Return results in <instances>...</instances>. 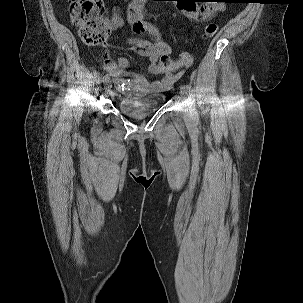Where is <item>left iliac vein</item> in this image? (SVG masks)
I'll list each match as a JSON object with an SVG mask.
<instances>
[{"label":"left iliac vein","mask_w":303,"mask_h":303,"mask_svg":"<svg viewBox=\"0 0 303 303\" xmlns=\"http://www.w3.org/2000/svg\"><path fill=\"white\" fill-rule=\"evenodd\" d=\"M186 92H185V90L182 88L181 89V96H182V98L184 99V100H186ZM190 113H191V111H190V107L188 106L186 109H185V115H186V117H190Z\"/></svg>","instance_id":"left-iliac-vein-1"}]
</instances>
